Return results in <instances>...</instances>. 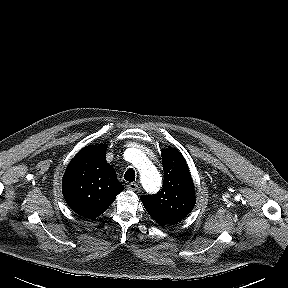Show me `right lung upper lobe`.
Returning a JSON list of instances; mask_svg holds the SVG:
<instances>
[{
    "instance_id": "right-lung-upper-lobe-1",
    "label": "right lung upper lobe",
    "mask_w": 288,
    "mask_h": 288,
    "mask_svg": "<svg viewBox=\"0 0 288 288\" xmlns=\"http://www.w3.org/2000/svg\"><path fill=\"white\" fill-rule=\"evenodd\" d=\"M105 145L86 146L73 158L64 177L65 201L77 214L95 218L104 213L124 187L106 161Z\"/></svg>"
}]
</instances>
